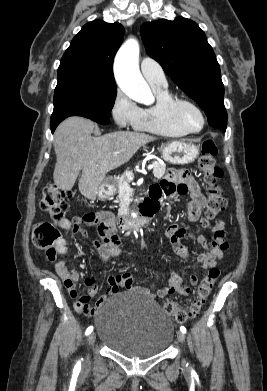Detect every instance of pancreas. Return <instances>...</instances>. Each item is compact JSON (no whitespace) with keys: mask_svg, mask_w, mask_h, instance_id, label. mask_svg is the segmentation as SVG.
Wrapping results in <instances>:
<instances>
[{"mask_svg":"<svg viewBox=\"0 0 267 391\" xmlns=\"http://www.w3.org/2000/svg\"><path fill=\"white\" fill-rule=\"evenodd\" d=\"M153 165H154V168H153L154 176L158 179L162 178V176L165 174L166 166L164 164L157 162V161H153ZM129 172H131V171H127L124 174H122L121 176L114 178V183L116 184V186L118 188V193H119L118 197L119 198L121 197L124 186H127L130 183V180L126 176V174Z\"/></svg>","mask_w":267,"mask_h":391,"instance_id":"obj_1","label":"pancreas"}]
</instances>
